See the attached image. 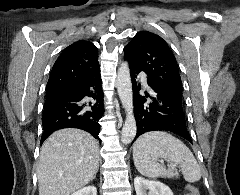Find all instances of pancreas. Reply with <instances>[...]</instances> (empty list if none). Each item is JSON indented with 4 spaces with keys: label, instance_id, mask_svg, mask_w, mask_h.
Here are the masks:
<instances>
[{
    "label": "pancreas",
    "instance_id": "obj_1",
    "mask_svg": "<svg viewBox=\"0 0 240 195\" xmlns=\"http://www.w3.org/2000/svg\"><path fill=\"white\" fill-rule=\"evenodd\" d=\"M166 171H167L166 177H179V173L177 169H175V167H168Z\"/></svg>",
    "mask_w": 240,
    "mask_h": 195
}]
</instances>
